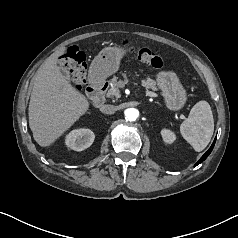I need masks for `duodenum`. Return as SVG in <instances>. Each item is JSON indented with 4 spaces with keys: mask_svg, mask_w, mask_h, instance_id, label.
I'll return each instance as SVG.
<instances>
[{
    "mask_svg": "<svg viewBox=\"0 0 238 238\" xmlns=\"http://www.w3.org/2000/svg\"><path fill=\"white\" fill-rule=\"evenodd\" d=\"M106 89V81L95 73H92L90 77V83L87 87V94L94 106L99 107L102 105Z\"/></svg>",
    "mask_w": 238,
    "mask_h": 238,
    "instance_id": "410a0bca",
    "label": "duodenum"
}]
</instances>
